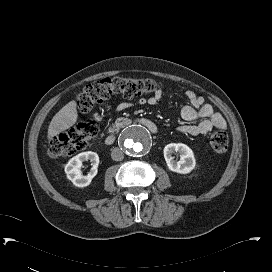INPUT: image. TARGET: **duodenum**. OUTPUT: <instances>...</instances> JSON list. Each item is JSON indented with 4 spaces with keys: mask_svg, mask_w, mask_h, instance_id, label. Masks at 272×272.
Returning <instances> with one entry per match:
<instances>
[{
    "mask_svg": "<svg viewBox=\"0 0 272 272\" xmlns=\"http://www.w3.org/2000/svg\"><path fill=\"white\" fill-rule=\"evenodd\" d=\"M131 125V121L126 119L120 122L118 129H122L124 127H127ZM142 125L147 128L151 133L156 134L158 132V128L156 124H154L152 121L149 120H142ZM118 135L117 130H113L110 132L105 138H104V143L107 145H111L116 141Z\"/></svg>",
    "mask_w": 272,
    "mask_h": 272,
    "instance_id": "1",
    "label": "duodenum"
}]
</instances>
